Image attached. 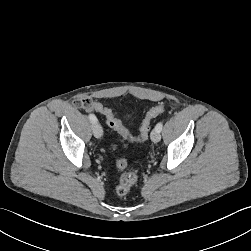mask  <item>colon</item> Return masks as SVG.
<instances>
[{"label":"colon","instance_id":"colon-1","mask_svg":"<svg viewBox=\"0 0 251 251\" xmlns=\"http://www.w3.org/2000/svg\"><path fill=\"white\" fill-rule=\"evenodd\" d=\"M166 110V106L158 105L151 108L145 115L141 126L139 134L133 136L130 132L118 121L117 114L114 113V109L111 106H107L101 103L99 100H96L91 106L85 109L86 115H93L95 112L104 119L107 120V125L110 128L117 129L124 138L134 143H142L145 142L150 133L151 129V120L163 113ZM116 167L119 171H123L126 168V161L122 158H118L116 160ZM138 175L135 171H130L123 173L119 179V182L116 185V192L119 195H126L130 188L137 182Z\"/></svg>","mask_w":251,"mask_h":251}]
</instances>
